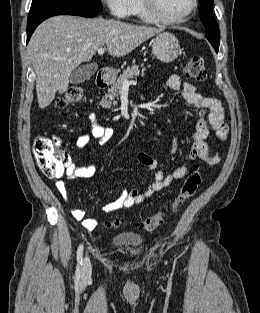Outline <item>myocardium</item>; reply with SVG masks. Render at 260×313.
<instances>
[{
    "label": "myocardium",
    "mask_w": 260,
    "mask_h": 313,
    "mask_svg": "<svg viewBox=\"0 0 260 313\" xmlns=\"http://www.w3.org/2000/svg\"><path fill=\"white\" fill-rule=\"evenodd\" d=\"M158 1L157 0H140L141 6L147 15V17L155 23L173 25L184 22L188 17H190L198 8V0L191 1V7L188 11L182 15L175 18H166L162 16L158 11Z\"/></svg>",
    "instance_id": "1"
}]
</instances>
